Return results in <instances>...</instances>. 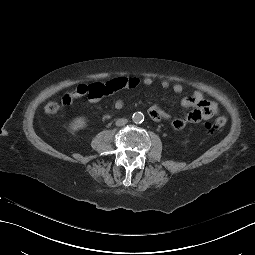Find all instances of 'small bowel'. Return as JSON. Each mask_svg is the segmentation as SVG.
Returning <instances> with one entry per match:
<instances>
[{
    "label": "small bowel",
    "instance_id": "1",
    "mask_svg": "<svg viewBox=\"0 0 255 255\" xmlns=\"http://www.w3.org/2000/svg\"><path fill=\"white\" fill-rule=\"evenodd\" d=\"M152 83L153 80L151 77H118L104 83H81L62 97V103L68 105L75 99L81 97H87L91 102H98L103 97L111 95L118 90L150 86ZM160 85L162 88L166 89L170 87V82L168 80H162ZM172 89L175 93L179 94L183 92L184 87L181 83H174ZM181 104L186 108H192V110L187 116L175 118L172 121V126L176 130L183 129L188 123L208 120L218 112L217 104L205 99L199 91H195L193 94L183 97ZM123 105L124 103L121 99H117L114 102V107L116 109H121ZM149 115L152 119L159 120L165 116V112L158 106H152L149 108Z\"/></svg>",
    "mask_w": 255,
    "mask_h": 255
}]
</instances>
